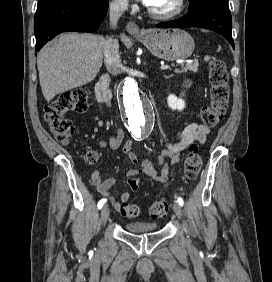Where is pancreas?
<instances>
[{
	"label": "pancreas",
	"instance_id": "1",
	"mask_svg": "<svg viewBox=\"0 0 272 282\" xmlns=\"http://www.w3.org/2000/svg\"><path fill=\"white\" fill-rule=\"evenodd\" d=\"M199 62L198 60H194L192 63L182 65L181 69H175L176 73H183L187 71L196 72L198 70Z\"/></svg>",
	"mask_w": 272,
	"mask_h": 282
}]
</instances>
